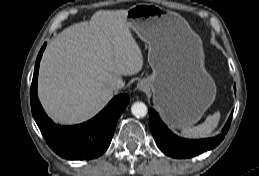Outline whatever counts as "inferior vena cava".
Listing matches in <instances>:
<instances>
[{
    "mask_svg": "<svg viewBox=\"0 0 259 176\" xmlns=\"http://www.w3.org/2000/svg\"><path fill=\"white\" fill-rule=\"evenodd\" d=\"M111 88L113 90H119V89H122L125 85V82L123 81L122 78H116L114 79L112 82H111Z\"/></svg>",
    "mask_w": 259,
    "mask_h": 176,
    "instance_id": "inferior-vena-cava-1",
    "label": "inferior vena cava"
}]
</instances>
